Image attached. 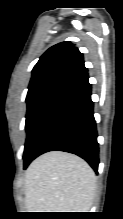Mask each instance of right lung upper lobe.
Here are the masks:
<instances>
[{
    "mask_svg": "<svg viewBox=\"0 0 123 219\" xmlns=\"http://www.w3.org/2000/svg\"><path fill=\"white\" fill-rule=\"evenodd\" d=\"M86 71L82 53L71 42H61L40 57L32 70L29 90L51 81H72Z\"/></svg>",
    "mask_w": 123,
    "mask_h": 219,
    "instance_id": "cb5924a9",
    "label": "right lung upper lobe"
}]
</instances>
